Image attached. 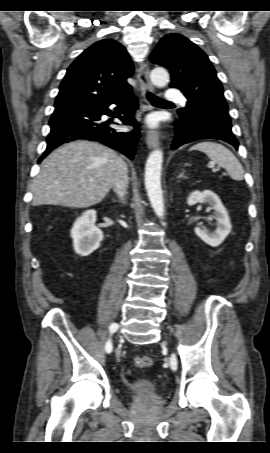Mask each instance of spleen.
<instances>
[{
    "mask_svg": "<svg viewBox=\"0 0 270 453\" xmlns=\"http://www.w3.org/2000/svg\"><path fill=\"white\" fill-rule=\"evenodd\" d=\"M205 153L220 167L225 168L233 180L241 181L244 178V170L236 156L225 146L215 142H201L190 148Z\"/></svg>",
    "mask_w": 270,
    "mask_h": 453,
    "instance_id": "1",
    "label": "spleen"
}]
</instances>
